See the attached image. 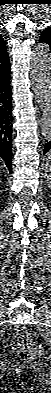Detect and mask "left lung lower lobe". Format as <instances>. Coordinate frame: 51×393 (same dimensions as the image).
<instances>
[{
	"label": "left lung lower lobe",
	"instance_id": "left-lung-lower-lobe-1",
	"mask_svg": "<svg viewBox=\"0 0 51 393\" xmlns=\"http://www.w3.org/2000/svg\"><path fill=\"white\" fill-rule=\"evenodd\" d=\"M49 150H51V141L48 142V143L46 144V146L44 147L43 154H45V153L48 152Z\"/></svg>",
	"mask_w": 51,
	"mask_h": 393
}]
</instances>
